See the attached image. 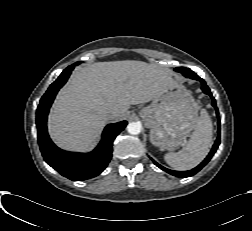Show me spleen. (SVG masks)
<instances>
[{"label":"spleen","mask_w":252,"mask_h":231,"mask_svg":"<svg viewBox=\"0 0 252 231\" xmlns=\"http://www.w3.org/2000/svg\"><path fill=\"white\" fill-rule=\"evenodd\" d=\"M213 136V126L210 116L202 110L196 120L194 132L185 147L177 153H167L166 163L175 170L185 171L196 167L208 154Z\"/></svg>","instance_id":"1"}]
</instances>
